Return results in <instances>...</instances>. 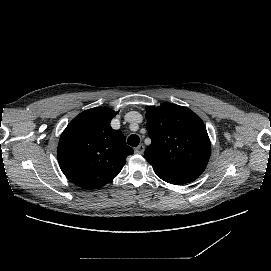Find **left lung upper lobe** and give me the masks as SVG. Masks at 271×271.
Listing matches in <instances>:
<instances>
[{"instance_id": "left-lung-upper-lobe-1", "label": "left lung upper lobe", "mask_w": 271, "mask_h": 271, "mask_svg": "<svg viewBox=\"0 0 271 271\" xmlns=\"http://www.w3.org/2000/svg\"><path fill=\"white\" fill-rule=\"evenodd\" d=\"M146 110L152 140L144 153L147 162L155 169L200 176L211 154L203 121L192 110L172 103Z\"/></svg>"}]
</instances>
